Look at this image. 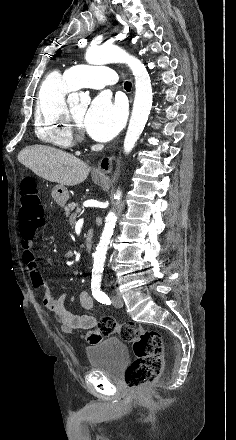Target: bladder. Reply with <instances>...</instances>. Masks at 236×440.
I'll list each match as a JSON object with an SVG mask.
<instances>
[{"label":"bladder","instance_id":"1","mask_svg":"<svg viewBox=\"0 0 236 440\" xmlns=\"http://www.w3.org/2000/svg\"><path fill=\"white\" fill-rule=\"evenodd\" d=\"M85 352L90 369L108 376H117L129 360L127 345L114 337L93 343Z\"/></svg>","mask_w":236,"mask_h":440}]
</instances>
